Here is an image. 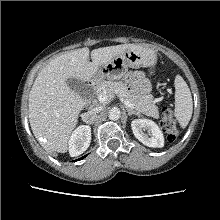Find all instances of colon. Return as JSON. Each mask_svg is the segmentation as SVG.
<instances>
[{
	"instance_id": "5ec220e1",
	"label": "colon",
	"mask_w": 220,
	"mask_h": 220,
	"mask_svg": "<svg viewBox=\"0 0 220 220\" xmlns=\"http://www.w3.org/2000/svg\"><path fill=\"white\" fill-rule=\"evenodd\" d=\"M161 126L166 133L167 140L173 142L177 138V129L172 112L165 109L162 115Z\"/></svg>"
}]
</instances>
